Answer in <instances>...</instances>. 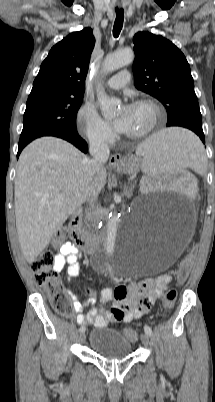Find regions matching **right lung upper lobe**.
<instances>
[{
    "instance_id": "right-lung-upper-lobe-1",
    "label": "right lung upper lobe",
    "mask_w": 215,
    "mask_h": 402,
    "mask_svg": "<svg viewBox=\"0 0 215 402\" xmlns=\"http://www.w3.org/2000/svg\"><path fill=\"white\" fill-rule=\"evenodd\" d=\"M94 44L92 29L85 28L54 45L41 64L29 96L41 93L84 95Z\"/></svg>"
}]
</instances>
